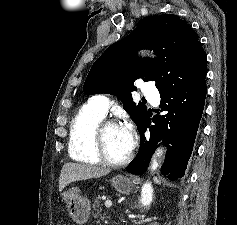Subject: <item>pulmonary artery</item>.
<instances>
[{"mask_svg": "<svg viewBox=\"0 0 237 225\" xmlns=\"http://www.w3.org/2000/svg\"><path fill=\"white\" fill-rule=\"evenodd\" d=\"M142 93L145 97L152 103L157 104L159 101L158 92L154 85L148 83L144 86ZM93 102L97 109L103 114L106 115L108 108L110 107L111 101L110 98L105 94L96 95L93 98Z\"/></svg>", "mask_w": 237, "mask_h": 225, "instance_id": "1", "label": "pulmonary artery"}]
</instances>
